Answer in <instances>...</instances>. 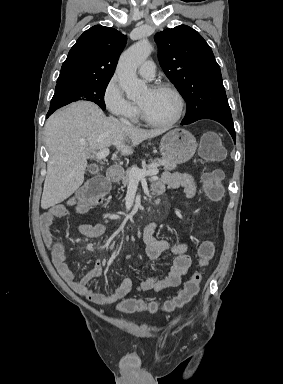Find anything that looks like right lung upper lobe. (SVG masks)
Listing matches in <instances>:
<instances>
[{"mask_svg": "<svg viewBox=\"0 0 283 384\" xmlns=\"http://www.w3.org/2000/svg\"><path fill=\"white\" fill-rule=\"evenodd\" d=\"M126 44L119 31L96 25L85 31L69 51L57 85L110 81Z\"/></svg>", "mask_w": 283, "mask_h": 384, "instance_id": "cb5924a9", "label": "right lung upper lobe"}]
</instances>
